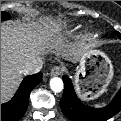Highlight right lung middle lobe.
<instances>
[{
	"label": "right lung middle lobe",
	"mask_w": 121,
	"mask_h": 121,
	"mask_svg": "<svg viewBox=\"0 0 121 121\" xmlns=\"http://www.w3.org/2000/svg\"><path fill=\"white\" fill-rule=\"evenodd\" d=\"M10 19V15L6 12H1V21Z\"/></svg>",
	"instance_id": "1"
}]
</instances>
